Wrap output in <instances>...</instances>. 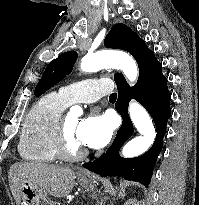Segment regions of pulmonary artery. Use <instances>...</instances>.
<instances>
[{"instance_id":"pulmonary-artery-1","label":"pulmonary artery","mask_w":199,"mask_h":205,"mask_svg":"<svg viewBox=\"0 0 199 205\" xmlns=\"http://www.w3.org/2000/svg\"><path fill=\"white\" fill-rule=\"evenodd\" d=\"M111 91L108 79L90 78L61 87L59 94L68 103H93Z\"/></svg>"}]
</instances>
